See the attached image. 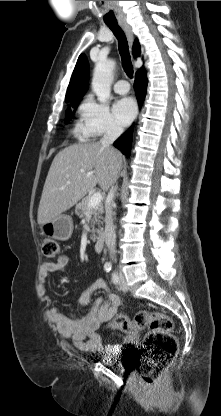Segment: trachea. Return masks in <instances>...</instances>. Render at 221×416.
Returning a JSON list of instances; mask_svg holds the SVG:
<instances>
[{"label": "trachea", "mask_w": 221, "mask_h": 416, "mask_svg": "<svg viewBox=\"0 0 221 416\" xmlns=\"http://www.w3.org/2000/svg\"><path fill=\"white\" fill-rule=\"evenodd\" d=\"M106 25L110 28V30L118 39L119 53L121 56L123 69L126 72V74L130 78H132L133 66H132L128 43H127L125 34L117 22L106 23Z\"/></svg>", "instance_id": "trachea-1"}]
</instances>
